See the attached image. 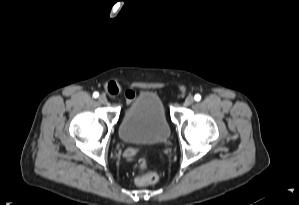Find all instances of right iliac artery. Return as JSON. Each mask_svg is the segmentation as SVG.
<instances>
[{
    "mask_svg": "<svg viewBox=\"0 0 299 205\" xmlns=\"http://www.w3.org/2000/svg\"><path fill=\"white\" fill-rule=\"evenodd\" d=\"M98 96H99V93H98V92H94V93H93V97H94V98H97Z\"/></svg>",
    "mask_w": 299,
    "mask_h": 205,
    "instance_id": "obj_1",
    "label": "right iliac artery"
}]
</instances>
